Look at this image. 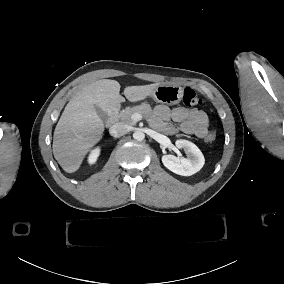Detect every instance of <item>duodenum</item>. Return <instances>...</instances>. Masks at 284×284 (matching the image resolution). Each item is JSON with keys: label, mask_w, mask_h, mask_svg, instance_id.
Listing matches in <instances>:
<instances>
[{"label": "duodenum", "mask_w": 284, "mask_h": 284, "mask_svg": "<svg viewBox=\"0 0 284 284\" xmlns=\"http://www.w3.org/2000/svg\"><path fill=\"white\" fill-rule=\"evenodd\" d=\"M117 119H118V110L117 109L111 110L106 120L108 127H112L116 123Z\"/></svg>", "instance_id": "obj_1"}]
</instances>
